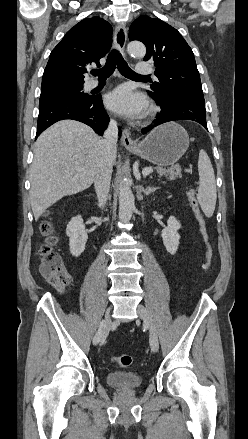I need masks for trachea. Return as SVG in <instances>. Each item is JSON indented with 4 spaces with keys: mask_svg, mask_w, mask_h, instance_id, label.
Listing matches in <instances>:
<instances>
[{
    "mask_svg": "<svg viewBox=\"0 0 248 439\" xmlns=\"http://www.w3.org/2000/svg\"><path fill=\"white\" fill-rule=\"evenodd\" d=\"M116 66L118 67L119 72L125 77H147L135 73L124 61L120 52L117 49H113L110 52L106 64L103 68L92 70L91 74L93 76H98L99 80H106L109 76L112 75Z\"/></svg>",
    "mask_w": 248,
    "mask_h": 439,
    "instance_id": "trachea-1",
    "label": "trachea"
}]
</instances>
